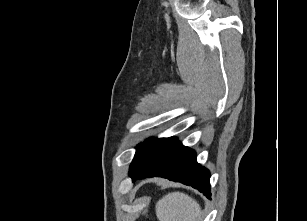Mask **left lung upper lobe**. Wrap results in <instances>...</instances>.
<instances>
[{"label":"left lung upper lobe","instance_id":"1","mask_svg":"<svg viewBox=\"0 0 307 221\" xmlns=\"http://www.w3.org/2000/svg\"><path fill=\"white\" fill-rule=\"evenodd\" d=\"M177 141V138H153L145 140L136 147L134 159L130 165L129 174L133 178L156 160L169 146Z\"/></svg>","mask_w":307,"mask_h":221}]
</instances>
